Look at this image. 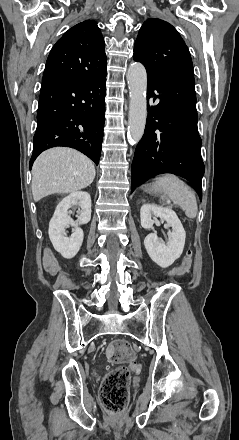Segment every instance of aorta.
Segmentation results:
<instances>
[{
  "label": "aorta",
  "instance_id": "aorta-1",
  "mask_svg": "<svg viewBox=\"0 0 239 440\" xmlns=\"http://www.w3.org/2000/svg\"><path fill=\"white\" fill-rule=\"evenodd\" d=\"M130 90L128 138L135 144L144 134L147 116V74L144 66L134 62L127 74Z\"/></svg>",
  "mask_w": 239,
  "mask_h": 440
}]
</instances>
